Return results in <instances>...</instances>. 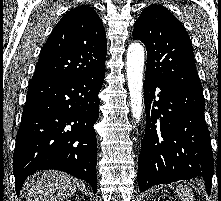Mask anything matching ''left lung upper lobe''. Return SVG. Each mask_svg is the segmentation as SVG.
Wrapping results in <instances>:
<instances>
[{
    "instance_id": "left-lung-upper-lobe-1",
    "label": "left lung upper lobe",
    "mask_w": 221,
    "mask_h": 201,
    "mask_svg": "<svg viewBox=\"0 0 221 201\" xmlns=\"http://www.w3.org/2000/svg\"><path fill=\"white\" fill-rule=\"evenodd\" d=\"M133 38L146 46L147 75L169 85L202 92L190 37L165 7H146L135 22Z\"/></svg>"
}]
</instances>
